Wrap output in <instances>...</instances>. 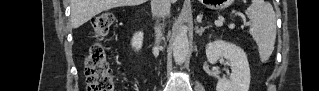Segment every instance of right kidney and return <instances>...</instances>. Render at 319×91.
Masks as SVG:
<instances>
[{
    "label": "right kidney",
    "instance_id": "obj_1",
    "mask_svg": "<svg viewBox=\"0 0 319 91\" xmlns=\"http://www.w3.org/2000/svg\"><path fill=\"white\" fill-rule=\"evenodd\" d=\"M142 43H143V33L142 32L135 33L131 41L132 48H134L136 51H139L142 47Z\"/></svg>",
    "mask_w": 319,
    "mask_h": 91
}]
</instances>
